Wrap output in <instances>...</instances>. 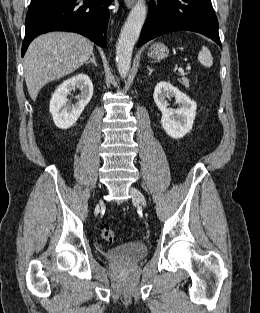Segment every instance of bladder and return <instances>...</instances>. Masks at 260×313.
Returning <instances> with one entry per match:
<instances>
[{
	"label": "bladder",
	"instance_id": "bladder-1",
	"mask_svg": "<svg viewBox=\"0 0 260 313\" xmlns=\"http://www.w3.org/2000/svg\"><path fill=\"white\" fill-rule=\"evenodd\" d=\"M147 245L142 241H130L105 251L104 256L111 261L139 259L146 256Z\"/></svg>",
	"mask_w": 260,
	"mask_h": 313
}]
</instances>
